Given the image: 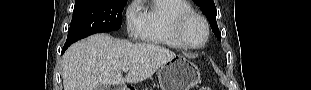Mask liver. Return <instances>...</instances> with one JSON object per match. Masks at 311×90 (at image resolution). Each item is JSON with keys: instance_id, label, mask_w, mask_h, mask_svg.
Listing matches in <instances>:
<instances>
[{"instance_id": "liver-1", "label": "liver", "mask_w": 311, "mask_h": 90, "mask_svg": "<svg viewBox=\"0 0 311 90\" xmlns=\"http://www.w3.org/2000/svg\"><path fill=\"white\" fill-rule=\"evenodd\" d=\"M176 57L155 44H134L107 34H95L71 45L63 56L64 90H97L100 84L138 83ZM129 67L124 78L123 67Z\"/></svg>"}]
</instances>
